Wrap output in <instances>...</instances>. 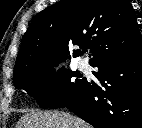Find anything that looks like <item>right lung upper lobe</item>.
<instances>
[{
    "label": "right lung upper lobe",
    "instance_id": "1",
    "mask_svg": "<svg viewBox=\"0 0 142 128\" xmlns=\"http://www.w3.org/2000/svg\"><path fill=\"white\" fill-rule=\"evenodd\" d=\"M90 48V65L142 46L136 14L128 0H61L39 12L23 36L14 72L40 61L66 59L68 45ZM81 55L73 50V57Z\"/></svg>",
    "mask_w": 142,
    "mask_h": 128
}]
</instances>
